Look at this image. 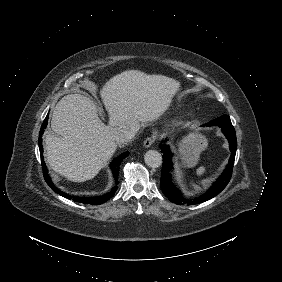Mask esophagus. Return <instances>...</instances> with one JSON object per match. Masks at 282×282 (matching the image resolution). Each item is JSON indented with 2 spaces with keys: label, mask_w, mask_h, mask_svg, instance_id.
<instances>
[{
  "label": "esophagus",
  "mask_w": 282,
  "mask_h": 282,
  "mask_svg": "<svg viewBox=\"0 0 282 282\" xmlns=\"http://www.w3.org/2000/svg\"><path fill=\"white\" fill-rule=\"evenodd\" d=\"M155 142V138L153 137H148L145 141H144V146L145 147H150L154 144Z\"/></svg>",
  "instance_id": "34e87169"
}]
</instances>
